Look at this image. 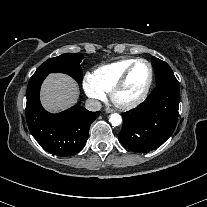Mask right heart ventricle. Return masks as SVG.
<instances>
[{"mask_svg":"<svg viewBox=\"0 0 207 207\" xmlns=\"http://www.w3.org/2000/svg\"><path fill=\"white\" fill-rule=\"evenodd\" d=\"M134 60L122 59L100 66L93 72L92 78L104 92H110L117 80Z\"/></svg>","mask_w":207,"mask_h":207,"instance_id":"obj_1","label":"right heart ventricle"}]
</instances>
